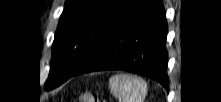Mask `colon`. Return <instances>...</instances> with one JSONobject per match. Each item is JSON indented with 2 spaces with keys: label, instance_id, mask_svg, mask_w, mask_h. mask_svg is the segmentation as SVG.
<instances>
[{
  "label": "colon",
  "instance_id": "colon-1",
  "mask_svg": "<svg viewBox=\"0 0 221 102\" xmlns=\"http://www.w3.org/2000/svg\"><path fill=\"white\" fill-rule=\"evenodd\" d=\"M80 102H100L97 94L91 91H85L81 93L79 97Z\"/></svg>",
  "mask_w": 221,
  "mask_h": 102
}]
</instances>
